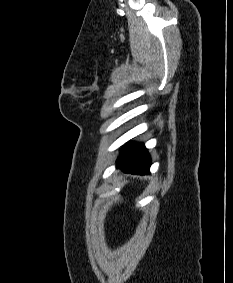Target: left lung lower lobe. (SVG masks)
Returning <instances> with one entry per match:
<instances>
[{
	"label": "left lung lower lobe",
	"instance_id": "1",
	"mask_svg": "<svg viewBox=\"0 0 233 283\" xmlns=\"http://www.w3.org/2000/svg\"><path fill=\"white\" fill-rule=\"evenodd\" d=\"M150 165V155L145 146L140 143L126 146L117 160V167L131 174H147Z\"/></svg>",
	"mask_w": 233,
	"mask_h": 283
}]
</instances>
